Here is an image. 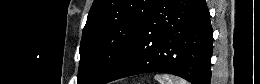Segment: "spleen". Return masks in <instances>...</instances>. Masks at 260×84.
Masks as SVG:
<instances>
[{"instance_id": "3e777b00", "label": "spleen", "mask_w": 260, "mask_h": 84, "mask_svg": "<svg viewBox=\"0 0 260 84\" xmlns=\"http://www.w3.org/2000/svg\"><path fill=\"white\" fill-rule=\"evenodd\" d=\"M155 79L159 84H188L184 79L170 74H156Z\"/></svg>"}]
</instances>
